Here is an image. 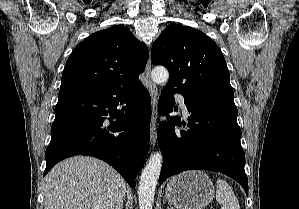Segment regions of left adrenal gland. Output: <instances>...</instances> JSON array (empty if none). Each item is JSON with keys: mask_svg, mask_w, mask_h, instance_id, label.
<instances>
[{"mask_svg": "<svg viewBox=\"0 0 299 209\" xmlns=\"http://www.w3.org/2000/svg\"><path fill=\"white\" fill-rule=\"evenodd\" d=\"M168 209H174L172 206H170Z\"/></svg>", "mask_w": 299, "mask_h": 209, "instance_id": "1", "label": "left adrenal gland"}]
</instances>
